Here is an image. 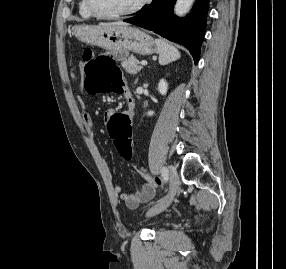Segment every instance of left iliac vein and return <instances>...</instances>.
<instances>
[{"instance_id":"left-iliac-vein-1","label":"left iliac vein","mask_w":286,"mask_h":269,"mask_svg":"<svg viewBox=\"0 0 286 269\" xmlns=\"http://www.w3.org/2000/svg\"><path fill=\"white\" fill-rule=\"evenodd\" d=\"M169 174H170V191L168 195L161 202H159L157 205H155L153 208L149 210L150 215L159 214L166 208H168L176 195L179 186V178L175 166L170 165Z\"/></svg>"}]
</instances>
